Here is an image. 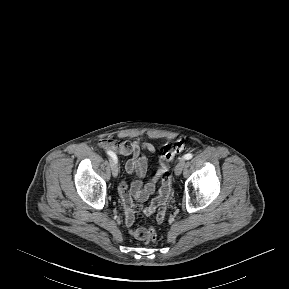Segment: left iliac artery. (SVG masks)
<instances>
[{
	"instance_id": "left-iliac-artery-1",
	"label": "left iliac artery",
	"mask_w": 289,
	"mask_h": 289,
	"mask_svg": "<svg viewBox=\"0 0 289 289\" xmlns=\"http://www.w3.org/2000/svg\"><path fill=\"white\" fill-rule=\"evenodd\" d=\"M192 157H193V155H192L191 153H188V154H185V155L183 156V159H185V160H190Z\"/></svg>"
}]
</instances>
